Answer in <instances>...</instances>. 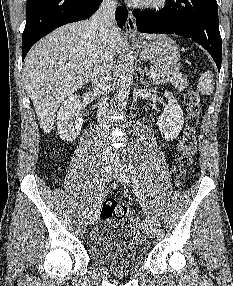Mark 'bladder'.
Listing matches in <instances>:
<instances>
[{"instance_id":"1","label":"bladder","mask_w":233,"mask_h":286,"mask_svg":"<svg viewBox=\"0 0 233 286\" xmlns=\"http://www.w3.org/2000/svg\"><path fill=\"white\" fill-rule=\"evenodd\" d=\"M87 248L94 265L109 271L138 269L150 252L141 233L111 218L102 219L92 231Z\"/></svg>"}]
</instances>
